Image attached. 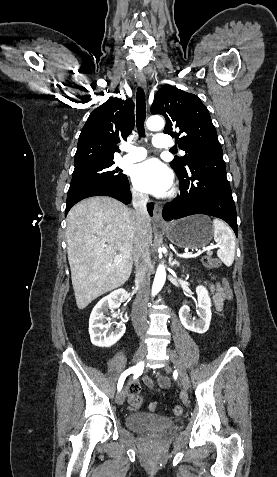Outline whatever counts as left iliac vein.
<instances>
[{"mask_svg": "<svg viewBox=\"0 0 277 477\" xmlns=\"http://www.w3.org/2000/svg\"><path fill=\"white\" fill-rule=\"evenodd\" d=\"M167 355L178 371L179 380L183 386V389L187 391L189 389V377L183 363L181 362L177 353L170 348H167ZM165 369L167 370L168 368L166 367Z\"/></svg>", "mask_w": 277, "mask_h": 477, "instance_id": "1", "label": "left iliac vein"}]
</instances>
